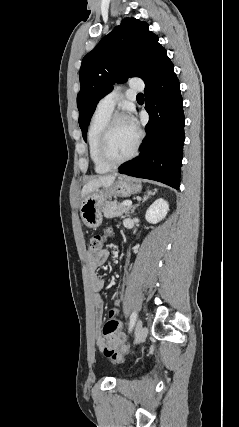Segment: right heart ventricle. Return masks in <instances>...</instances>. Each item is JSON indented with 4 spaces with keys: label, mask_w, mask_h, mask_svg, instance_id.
<instances>
[{
    "label": "right heart ventricle",
    "mask_w": 239,
    "mask_h": 427,
    "mask_svg": "<svg viewBox=\"0 0 239 427\" xmlns=\"http://www.w3.org/2000/svg\"><path fill=\"white\" fill-rule=\"evenodd\" d=\"M111 116V112L96 109L87 130V143L90 159L97 173H106L111 168L103 164L98 156V143L101 132Z\"/></svg>",
    "instance_id": "obj_1"
}]
</instances>
